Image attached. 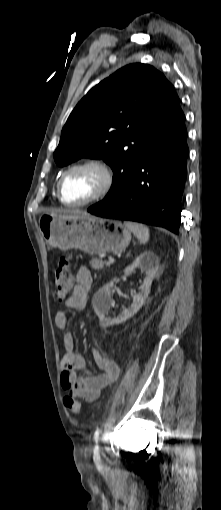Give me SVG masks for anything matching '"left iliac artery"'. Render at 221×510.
<instances>
[{
  "mask_svg": "<svg viewBox=\"0 0 221 510\" xmlns=\"http://www.w3.org/2000/svg\"><path fill=\"white\" fill-rule=\"evenodd\" d=\"M99 437H100V429H99V428H97V430H96V431H95V433H94V438H95L96 442L98 441ZM95 449L97 450V449H98V446H96V448H95Z\"/></svg>",
  "mask_w": 221,
  "mask_h": 510,
  "instance_id": "left-iliac-artery-1",
  "label": "left iliac artery"
}]
</instances>
